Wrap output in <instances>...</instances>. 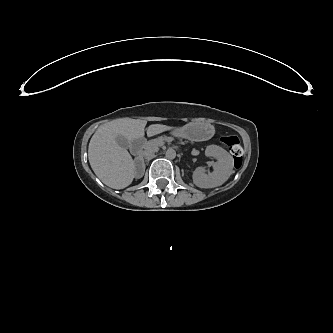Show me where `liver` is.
<instances>
[{
	"label": "liver",
	"instance_id": "obj_1",
	"mask_svg": "<svg viewBox=\"0 0 333 333\" xmlns=\"http://www.w3.org/2000/svg\"><path fill=\"white\" fill-rule=\"evenodd\" d=\"M88 160L95 175L114 189L129 186L136 175L135 160L115 137H93L88 146Z\"/></svg>",
	"mask_w": 333,
	"mask_h": 333
}]
</instances>
